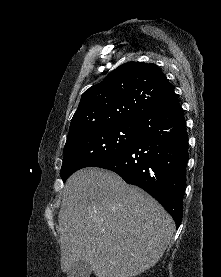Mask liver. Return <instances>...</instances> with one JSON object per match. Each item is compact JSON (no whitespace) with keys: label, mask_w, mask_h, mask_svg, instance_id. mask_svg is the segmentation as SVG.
Here are the masks:
<instances>
[{"label":"liver","mask_w":221,"mask_h":277,"mask_svg":"<svg viewBox=\"0 0 221 277\" xmlns=\"http://www.w3.org/2000/svg\"><path fill=\"white\" fill-rule=\"evenodd\" d=\"M58 223L62 271L85 261L97 277H135L150 269L174 231L172 217L154 198L96 167L68 178Z\"/></svg>","instance_id":"1"}]
</instances>
